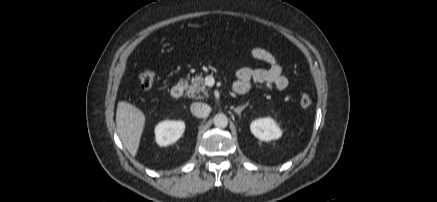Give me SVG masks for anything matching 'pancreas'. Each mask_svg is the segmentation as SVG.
<instances>
[{
	"mask_svg": "<svg viewBox=\"0 0 437 202\" xmlns=\"http://www.w3.org/2000/svg\"><path fill=\"white\" fill-rule=\"evenodd\" d=\"M184 83H188L184 81ZM186 95L192 99H202L208 97L204 78L201 75L195 76L191 80V84L188 86Z\"/></svg>",
	"mask_w": 437,
	"mask_h": 202,
	"instance_id": "cf45deb5",
	"label": "pancreas"
}]
</instances>
